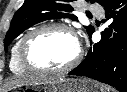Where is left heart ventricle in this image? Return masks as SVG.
<instances>
[{
  "label": "left heart ventricle",
  "instance_id": "b2bd125f",
  "mask_svg": "<svg viewBox=\"0 0 127 92\" xmlns=\"http://www.w3.org/2000/svg\"><path fill=\"white\" fill-rule=\"evenodd\" d=\"M78 43L66 31L50 30L37 36L29 45L28 56L37 67L60 68L77 54Z\"/></svg>",
  "mask_w": 127,
  "mask_h": 92
}]
</instances>
